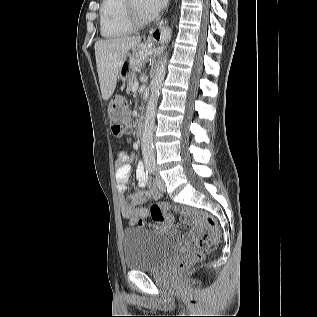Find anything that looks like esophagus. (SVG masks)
I'll return each mask as SVG.
<instances>
[{
  "mask_svg": "<svg viewBox=\"0 0 317 317\" xmlns=\"http://www.w3.org/2000/svg\"><path fill=\"white\" fill-rule=\"evenodd\" d=\"M167 35V29L164 25V23H161L158 27L152 29L150 31V34L147 38L148 41H153V42H162Z\"/></svg>",
  "mask_w": 317,
  "mask_h": 317,
  "instance_id": "34e87169",
  "label": "esophagus"
}]
</instances>
